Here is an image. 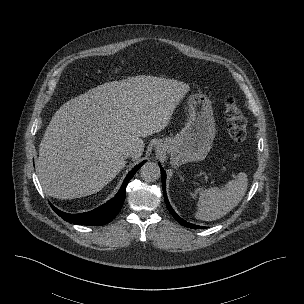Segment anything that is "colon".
Returning <instances> with one entry per match:
<instances>
[{"label": "colon", "instance_id": "colon-1", "mask_svg": "<svg viewBox=\"0 0 304 304\" xmlns=\"http://www.w3.org/2000/svg\"><path fill=\"white\" fill-rule=\"evenodd\" d=\"M224 118L232 142L236 145L242 144L247 136V121L239 103L233 97H228L225 100Z\"/></svg>", "mask_w": 304, "mask_h": 304}]
</instances>
